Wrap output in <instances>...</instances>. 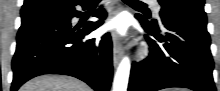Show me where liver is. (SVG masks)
<instances>
[{"mask_svg":"<svg viewBox=\"0 0 220 91\" xmlns=\"http://www.w3.org/2000/svg\"><path fill=\"white\" fill-rule=\"evenodd\" d=\"M19 91H92L84 82L64 75H42L25 83Z\"/></svg>","mask_w":220,"mask_h":91,"instance_id":"1","label":"liver"}]
</instances>
